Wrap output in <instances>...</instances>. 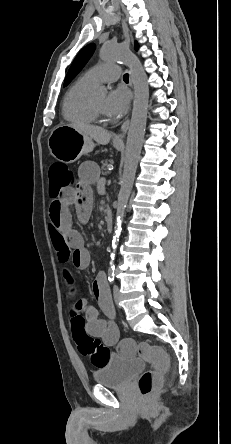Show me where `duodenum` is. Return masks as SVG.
I'll list each match as a JSON object with an SVG mask.
<instances>
[{
  "mask_svg": "<svg viewBox=\"0 0 231 444\" xmlns=\"http://www.w3.org/2000/svg\"><path fill=\"white\" fill-rule=\"evenodd\" d=\"M105 221H106V230L111 231L113 228V214L110 210L107 211L106 213Z\"/></svg>",
  "mask_w": 231,
  "mask_h": 444,
  "instance_id": "410a0bca",
  "label": "duodenum"
}]
</instances>
